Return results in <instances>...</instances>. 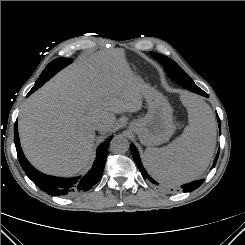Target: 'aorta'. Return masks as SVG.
Segmentation results:
<instances>
[{"label":"aorta","mask_w":245,"mask_h":245,"mask_svg":"<svg viewBox=\"0 0 245 245\" xmlns=\"http://www.w3.org/2000/svg\"><path fill=\"white\" fill-rule=\"evenodd\" d=\"M110 149L114 153L123 154L129 149V141L121 135L115 136L111 140Z\"/></svg>","instance_id":"obj_1"}]
</instances>
